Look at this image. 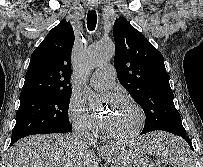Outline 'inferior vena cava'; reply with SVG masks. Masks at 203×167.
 <instances>
[{"label": "inferior vena cava", "instance_id": "obj_1", "mask_svg": "<svg viewBox=\"0 0 203 167\" xmlns=\"http://www.w3.org/2000/svg\"><path fill=\"white\" fill-rule=\"evenodd\" d=\"M74 142L81 147H88L92 143V135L86 128H77L72 134Z\"/></svg>", "mask_w": 203, "mask_h": 167}]
</instances>
